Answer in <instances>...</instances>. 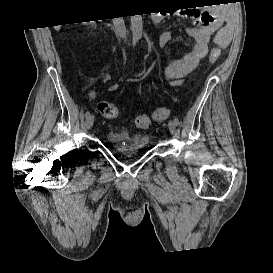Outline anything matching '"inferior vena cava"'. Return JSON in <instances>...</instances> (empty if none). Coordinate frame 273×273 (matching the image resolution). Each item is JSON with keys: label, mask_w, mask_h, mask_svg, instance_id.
<instances>
[{"label": "inferior vena cava", "mask_w": 273, "mask_h": 273, "mask_svg": "<svg viewBox=\"0 0 273 273\" xmlns=\"http://www.w3.org/2000/svg\"><path fill=\"white\" fill-rule=\"evenodd\" d=\"M113 24L115 27V33L121 38H126V27L124 24L123 17L114 18Z\"/></svg>", "instance_id": "602c4592"}]
</instances>
